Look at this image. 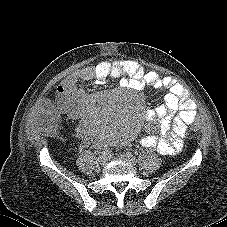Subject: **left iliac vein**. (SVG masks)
I'll return each instance as SVG.
<instances>
[{
    "instance_id": "1",
    "label": "left iliac vein",
    "mask_w": 227,
    "mask_h": 227,
    "mask_svg": "<svg viewBox=\"0 0 227 227\" xmlns=\"http://www.w3.org/2000/svg\"><path fill=\"white\" fill-rule=\"evenodd\" d=\"M118 157L123 160L127 161L128 163L135 165L137 163L136 157H134L131 153H123L119 154Z\"/></svg>"
}]
</instances>
